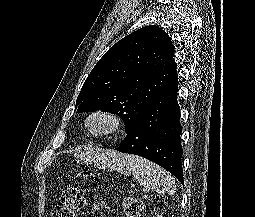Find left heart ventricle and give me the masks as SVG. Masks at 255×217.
<instances>
[{
	"label": "left heart ventricle",
	"instance_id": "b2bd125f",
	"mask_svg": "<svg viewBox=\"0 0 255 217\" xmlns=\"http://www.w3.org/2000/svg\"><path fill=\"white\" fill-rule=\"evenodd\" d=\"M90 126L93 129H100L106 126V122L102 119L96 118L90 122Z\"/></svg>",
	"mask_w": 255,
	"mask_h": 217
}]
</instances>
